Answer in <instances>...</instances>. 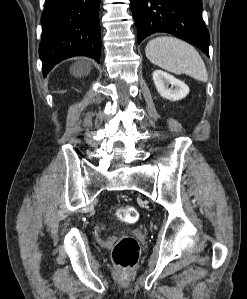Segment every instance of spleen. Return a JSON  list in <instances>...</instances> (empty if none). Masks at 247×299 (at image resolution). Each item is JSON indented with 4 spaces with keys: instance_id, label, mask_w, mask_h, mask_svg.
<instances>
[{
    "instance_id": "obj_1",
    "label": "spleen",
    "mask_w": 247,
    "mask_h": 299,
    "mask_svg": "<svg viewBox=\"0 0 247 299\" xmlns=\"http://www.w3.org/2000/svg\"><path fill=\"white\" fill-rule=\"evenodd\" d=\"M149 61L169 72L187 74L196 80L207 82L205 63L190 44L174 37H157L148 42L145 50Z\"/></svg>"
}]
</instances>
